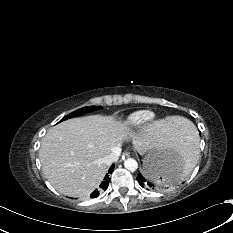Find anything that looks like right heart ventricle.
<instances>
[{
	"mask_svg": "<svg viewBox=\"0 0 233 233\" xmlns=\"http://www.w3.org/2000/svg\"><path fill=\"white\" fill-rule=\"evenodd\" d=\"M155 119V114L150 110H139L130 114L125 120V131L132 135L148 127Z\"/></svg>",
	"mask_w": 233,
	"mask_h": 233,
	"instance_id": "1",
	"label": "right heart ventricle"
}]
</instances>
